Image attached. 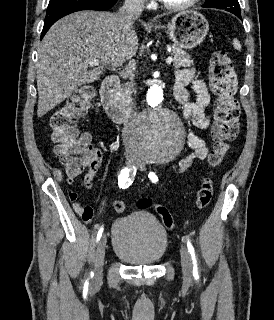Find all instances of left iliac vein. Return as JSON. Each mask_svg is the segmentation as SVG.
<instances>
[{
	"label": "left iliac vein",
	"mask_w": 274,
	"mask_h": 320,
	"mask_svg": "<svg viewBox=\"0 0 274 320\" xmlns=\"http://www.w3.org/2000/svg\"><path fill=\"white\" fill-rule=\"evenodd\" d=\"M135 165L141 171L145 169L144 163L141 161H137ZM180 254L184 278L186 281H190L192 279V261L190 253L184 245L181 246Z\"/></svg>",
	"instance_id": "obj_1"
}]
</instances>
